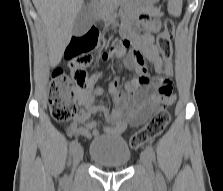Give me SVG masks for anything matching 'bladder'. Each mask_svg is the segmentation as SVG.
I'll return each instance as SVG.
<instances>
[{
    "label": "bladder",
    "mask_w": 223,
    "mask_h": 191,
    "mask_svg": "<svg viewBox=\"0 0 223 191\" xmlns=\"http://www.w3.org/2000/svg\"><path fill=\"white\" fill-rule=\"evenodd\" d=\"M131 149L119 136H102L92 141L90 158L103 167H126L131 160Z\"/></svg>",
    "instance_id": "31cf9c89"
}]
</instances>
